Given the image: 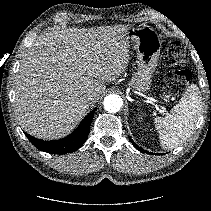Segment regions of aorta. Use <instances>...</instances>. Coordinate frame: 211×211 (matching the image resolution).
<instances>
[{"instance_id":"obj_1","label":"aorta","mask_w":211,"mask_h":211,"mask_svg":"<svg viewBox=\"0 0 211 211\" xmlns=\"http://www.w3.org/2000/svg\"><path fill=\"white\" fill-rule=\"evenodd\" d=\"M103 105L107 112L116 113L121 109L123 100L119 95L109 94L104 98Z\"/></svg>"}]
</instances>
